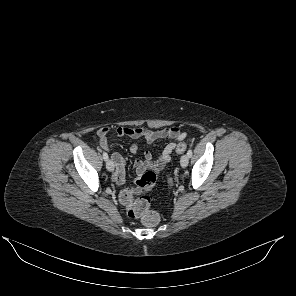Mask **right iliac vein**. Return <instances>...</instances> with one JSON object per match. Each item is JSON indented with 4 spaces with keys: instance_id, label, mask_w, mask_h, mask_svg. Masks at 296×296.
Returning <instances> with one entry per match:
<instances>
[{
    "instance_id": "right-iliac-vein-1",
    "label": "right iliac vein",
    "mask_w": 296,
    "mask_h": 296,
    "mask_svg": "<svg viewBox=\"0 0 296 296\" xmlns=\"http://www.w3.org/2000/svg\"><path fill=\"white\" fill-rule=\"evenodd\" d=\"M106 168H107L108 171H113L114 170V163H113L112 160H107Z\"/></svg>"
}]
</instances>
